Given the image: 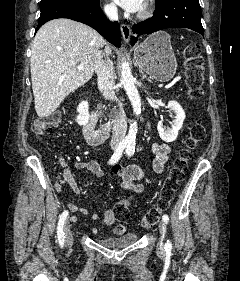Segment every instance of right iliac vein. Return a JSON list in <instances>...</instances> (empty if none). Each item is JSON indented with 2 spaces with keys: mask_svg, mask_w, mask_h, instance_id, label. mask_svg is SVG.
Segmentation results:
<instances>
[{
  "mask_svg": "<svg viewBox=\"0 0 240 281\" xmlns=\"http://www.w3.org/2000/svg\"><path fill=\"white\" fill-rule=\"evenodd\" d=\"M64 234L66 238V242L68 245H71L73 243V235L70 230V222L66 221L65 226H64Z\"/></svg>",
  "mask_w": 240,
  "mask_h": 281,
  "instance_id": "right-iliac-vein-1",
  "label": "right iliac vein"
}]
</instances>
